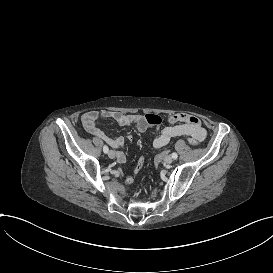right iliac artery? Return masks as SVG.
I'll list each match as a JSON object with an SVG mask.
<instances>
[{
  "mask_svg": "<svg viewBox=\"0 0 273 273\" xmlns=\"http://www.w3.org/2000/svg\"><path fill=\"white\" fill-rule=\"evenodd\" d=\"M103 151H104V153H108L109 149H108V147L106 145H104Z\"/></svg>",
  "mask_w": 273,
  "mask_h": 273,
  "instance_id": "obj_1",
  "label": "right iliac artery"
}]
</instances>
